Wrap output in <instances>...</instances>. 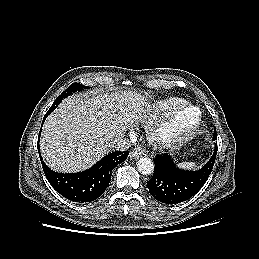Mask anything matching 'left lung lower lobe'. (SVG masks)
Returning <instances> with one entry per match:
<instances>
[{
  "label": "left lung lower lobe",
  "instance_id": "left-lung-lower-lobe-1",
  "mask_svg": "<svg viewBox=\"0 0 259 259\" xmlns=\"http://www.w3.org/2000/svg\"><path fill=\"white\" fill-rule=\"evenodd\" d=\"M216 154L217 143L210 160L198 171L179 169L170 155H157L153 159L155 164L153 176L147 183L150 194L166 204H177L191 198L207 181L213 169Z\"/></svg>",
  "mask_w": 259,
  "mask_h": 259
}]
</instances>
